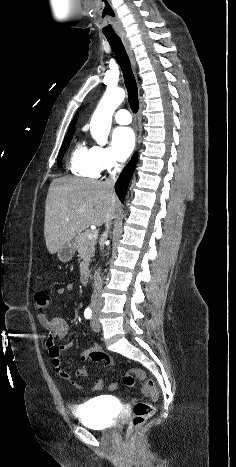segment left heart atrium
Returning <instances> with one entry per match:
<instances>
[{"label": "left heart atrium", "instance_id": "obj_1", "mask_svg": "<svg viewBox=\"0 0 236 467\" xmlns=\"http://www.w3.org/2000/svg\"><path fill=\"white\" fill-rule=\"evenodd\" d=\"M112 146L116 159L124 161L135 146L133 130L130 127H117L112 133Z\"/></svg>", "mask_w": 236, "mask_h": 467}]
</instances>
